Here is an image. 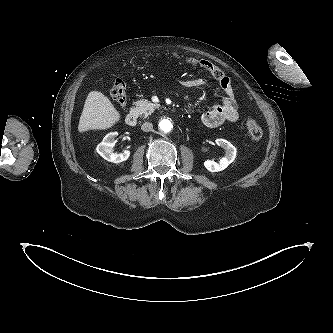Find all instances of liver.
<instances>
[{
    "mask_svg": "<svg viewBox=\"0 0 333 333\" xmlns=\"http://www.w3.org/2000/svg\"><path fill=\"white\" fill-rule=\"evenodd\" d=\"M121 118L108 97L99 91H91L80 116L78 131L104 130L112 127Z\"/></svg>",
    "mask_w": 333,
    "mask_h": 333,
    "instance_id": "1",
    "label": "liver"
}]
</instances>
